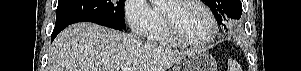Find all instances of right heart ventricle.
I'll list each match as a JSON object with an SVG mask.
<instances>
[{"label": "right heart ventricle", "instance_id": "right-heart-ventricle-1", "mask_svg": "<svg viewBox=\"0 0 301 71\" xmlns=\"http://www.w3.org/2000/svg\"><path fill=\"white\" fill-rule=\"evenodd\" d=\"M156 22L146 36L147 41L153 44L163 46H176L178 43L168 33L163 16L160 12H156Z\"/></svg>", "mask_w": 301, "mask_h": 71}]
</instances>
